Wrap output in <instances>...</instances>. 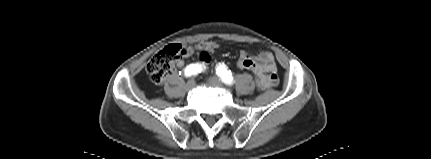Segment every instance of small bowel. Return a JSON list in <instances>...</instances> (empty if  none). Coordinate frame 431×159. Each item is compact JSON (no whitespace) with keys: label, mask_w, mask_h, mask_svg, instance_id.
Instances as JSON below:
<instances>
[{"label":"small bowel","mask_w":431,"mask_h":159,"mask_svg":"<svg viewBox=\"0 0 431 159\" xmlns=\"http://www.w3.org/2000/svg\"><path fill=\"white\" fill-rule=\"evenodd\" d=\"M198 46L201 48H207L210 51L209 53L201 52L200 56L203 53H208L210 55V53L218 47V45L213 41H206L190 47H194L196 49ZM184 65V60H177V68H182ZM237 66L240 69H246L253 72V74L261 81V89L273 87L278 83L277 65L274 61L273 55L268 51H261L257 54H252L243 50L240 52Z\"/></svg>","instance_id":"1"}]
</instances>
